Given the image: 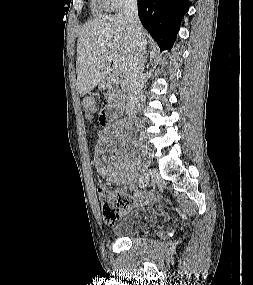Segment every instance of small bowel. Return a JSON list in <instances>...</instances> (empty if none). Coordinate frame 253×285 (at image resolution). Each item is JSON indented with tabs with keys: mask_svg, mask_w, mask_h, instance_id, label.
<instances>
[{
	"mask_svg": "<svg viewBox=\"0 0 253 285\" xmlns=\"http://www.w3.org/2000/svg\"><path fill=\"white\" fill-rule=\"evenodd\" d=\"M107 114H108V109H98V113H96V118L100 126L108 125L106 118ZM134 199H135V205L142 207L155 203L157 197L152 190H144L141 192H135Z\"/></svg>",
	"mask_w": 253,
	"mask_h": 285,
	"instance_id": "obj_1",
	"label": "small bowel"
}]
</instances>
